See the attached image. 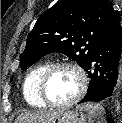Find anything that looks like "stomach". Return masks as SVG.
I'll return each mask as SVG.
<instances>
[{
    "mask_svg": "<svg viewBox=\"0 0 122 123\" xmlns=\"http://www.w3.org/2000/svg\"><path fill=\"white\" fill-rule=\"evenodd\" d=\"M47 123H86V116L77 111H54Z\"/></svg>",
    "mask_w": 122,
    "mask_h": 123,
    "instance_id": "obj_1",
    "label": "stomach"
}]
</instances>
